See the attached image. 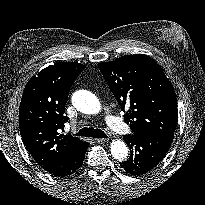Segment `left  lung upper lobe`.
Listing matches in <instances>:
<instances>
[{"mask_svg": "<svg viewBox=\"0 0 205 205\" xmlns=\"http://www.w3.org/2000/svg\"><path fill=\"white\" fill-rule=\"evenodd\" d=\"M98 67L122 111L127 110L124 119L133 135L175 132L178 113L174 88L152 58L125 55Z\"/></svg>", "mask_w": 205, "mask_h": 205, "instance_id": "1", "label": "left lung upper lobe"}]
</instances>
